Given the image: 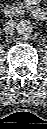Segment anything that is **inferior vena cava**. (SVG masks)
Instances as JSON below:
<instances>
[{"label":"inferior vena cava","mask_w":47,"mask_h":129,"mask_svg":"<svg viewBox=\"0 0 47 129\" xmlns=\"http://www.w3.org/2000/svg\"><path fill=\"white\" fill-rule=\"evenodd\" d=\"M15 21L14 20H10V21H8L7 22V25H6V27H5V32L7 33V34H11L12 32H13V30H14V28H15Z\"/></svg>","instance_id":"obj_1"}]
</instances>
